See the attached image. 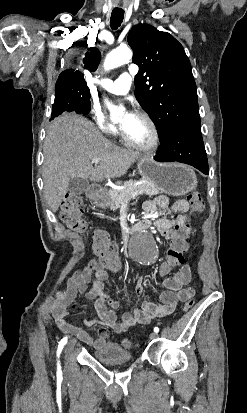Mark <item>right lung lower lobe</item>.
I'll use <instances>...</instances> for the list:
<instances>
[{
    "label": "right lung lower lobe",
    "instance_id": "1",
    "mask_svg": "<svg viewBox=\"0 0 247 413\" xmlns=\"http://www.w3.org/2000/svg\"><path fill=\"white\" fill-rule=\"evenodd\" d=\"M90 109L86 108L85 105L81 102L72 98L55 99L51 114V120L62 114L63 112H75L77 114L86 115L89 113Z\"/></svg>",
    "mask_w": 247,
    "mask_h": 413
}]
</instances>
